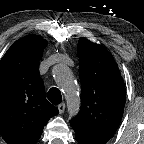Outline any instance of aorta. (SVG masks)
Wrapping results in <instances>:
<instances>
[{
  "instance_id": "762f6f07",
  "label": "aorta",
  "mask_w": 144,
  "mask_h": 144,
  "mask_svg": "<svg viewBox=\"0 0 144 144\" xmlns=\"http://www.w3.org/2000/svg\"><path fill=\"white\" fill-rule=\"evenodd\" d=\"M54 79L60 84L64 90V94L68 103V112L70 116L75 115L79 110L78 89L73 81L72 73L65 64H57L52 69Z\"/></svg>"
}]
</instances>
